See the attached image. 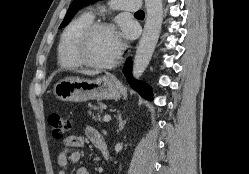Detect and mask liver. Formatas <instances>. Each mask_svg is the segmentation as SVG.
<instances>
[{
	"label": "liver",
	"mask_w": 249,
	"mask_h": 174,
	"mask_svg": "<svg viewBox=\"0 0 249 174\" xmlns=\"http://www.w3.org/2000/svg\"><path fill=\"white\" fill-rule=\"evenodd\" d=\"M80 73H82L84 75H90V76L97 74V72H95V71H88V70L81 71Z\"/></svg>",
	"instance_id": "1"
}]
</instances>
